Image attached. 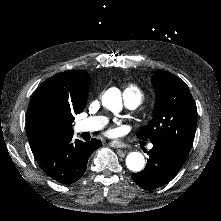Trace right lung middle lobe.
<instances>
[{
    "label": "right lung middle lobe",
    "instance_id": "right-lung-middle-lobe-1",
    "mask_svg": "<svg viewBox=\"0 0 221 221\" xmlns=\"http://www.w3.org/2000/svg\"><path fill=\"white\" fill-rule=\"evenodd\" d=\"M37 126L40 134L51 142H58L73 134V113L49 105L37 108Z\"/></svg>",
    "mask_w": 221,
    "mask_h": 221
}]
</instances>
